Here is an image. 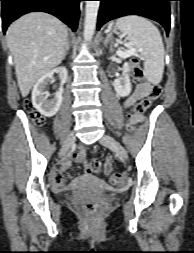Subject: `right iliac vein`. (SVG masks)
Instances as JSON below:
<instances>
[{"label":"right iliac vein","instance_id":"obj_1","mask_svg":"<svg viewBox=\"0 0 194 253\" xmlns=\"http://www.w3.org/2000/svg\"><path fill=\"white\" fill-rule=\"evenodd\" d=\"M74 142H75V135H74L73 132H71L67 136V138H66V140H65V142H64V144H63V146L60 150L59 155L60 156L64 155L73 146Z\"/></svg>","mask_w":194,"mask_h":253}]
</instances>
